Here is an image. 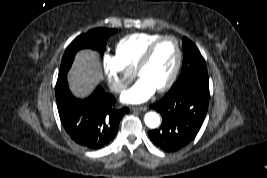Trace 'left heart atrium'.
<instances>
[{"label":"left heart atrium","instance_id":"left-heart-atrium-1","mask_svg":"<svg viewBox=\"0 0 267 178\" xmlns=\"http://www.w3.org/2000/svg\"><path fill=\"white\" fill-rule=\"evenodd\" d=\"M155 91L156 89L147 80L140 78L122 94L121 100L128 104H140L150 99Z\"/></svg>","mask_w":267,"mask_h":178}]
</instances>
